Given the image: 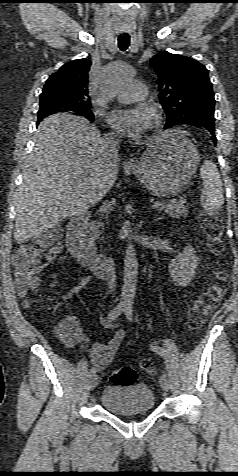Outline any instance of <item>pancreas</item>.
Instances as JSON below:
<instances>
[{
	"mask_svg": "<svg viewBox=\"0 0 238 476\" xmlns=\"http://www.w3.org/2000/svg\"><path fill=\"white\" fill-rule=\"evenodd\" d=\"M160 211H165L168 215L174 218H178L180 216H186L189 213V208L187 205V201L183 198L179 200H171L169 203H161L160 206L157 207ZM103 227V223L101 221H93L90 224V234L88 238V242L93 244L96 239H98L99 235L102 233L101 228Z\"/></svg>",
	"mask_w": 238,
	"mask_h": 476,
	"instance_id": "pancreas-1",
	"label": "pancreas"
}]
</instances>
